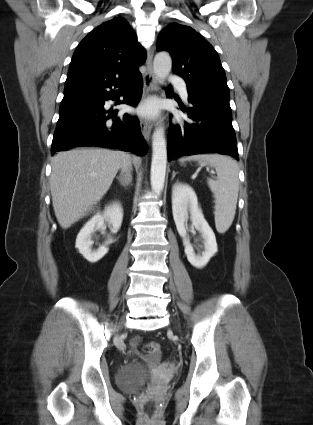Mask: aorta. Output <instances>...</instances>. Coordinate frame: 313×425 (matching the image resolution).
<instances>
[{"instance_id": "762f6f07", "label": "aorta", "mask_w": 313, "mask_h": 425, "mask_svg": "<svg viewBox=\"0 0 313 425\" xmlns=\"http://www.w3.org/2000/svg\"><path fill=\"white\" fill-rule=\"evenodd\" d=\"M172 68V60L167 52H159L153 61L154 75L160 84L169 75ZM167 165V146L164 129L158 127L152 136V163L150 180L152 190L156 195H160L164 188Z\"/></svg>"}]
</instances>
